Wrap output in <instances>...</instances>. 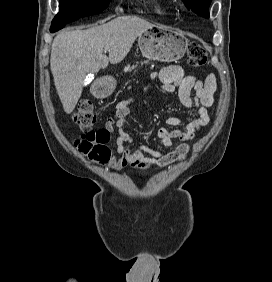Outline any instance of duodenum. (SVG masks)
<instances>
[{"label": "duodenum", "mask_w": 272, "mask_h": 282, "mask_svg": "<svg viewBox=\"0 0 272 282\" xmlns=\"http://www.w3.org/2000/svg\"><path fill=\"white\" fill-rule=\"evenodd\" d=\"M109 81L104 79L100 82H97L93 86V92L96 94L97 98H102L103 95L107 92Z\"/></svg>", "instance_id": "duodenum-1"}]
</instances>
